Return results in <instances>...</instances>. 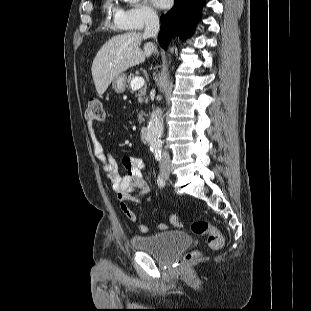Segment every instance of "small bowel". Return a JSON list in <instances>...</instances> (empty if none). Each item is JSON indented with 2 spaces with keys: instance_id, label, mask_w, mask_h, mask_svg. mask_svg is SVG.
Wrapping results in <instances>:
<instances>
[{
  "instance_id": "small-bowel-1",
  "label": "small bowel",
  "mask_w": 311,
  "mask_h": 311,
  "mask_svg": "<svg viewBox=\"0 0 311 311\" xmlns=\"http://www.w3.org/2000/svg\"><path fill=\"white\" fill-rule=\"evenodd\" d=\"M87 129L91 138L94 154L100 161L102 170L105 172L117 198L120 202V207L125 216L132 222L138 220L137 214L130 209L126 202L133 201L136 203L141 202V197L148 194L150 191L149 184L144 179L143 172L145 164L142 159L138 157L125 156L122 159V164L126 173L121 175L119 172V165L113 156H106L102 146L97 138V133L92 121L87 123ZM175 225L180 223L176 220L173 221ZM158 229L166 230L168 226L160 223L157 225ZM138 229L141 233H148L149 228L145 224H139Z\"/></svg>"
}]
</instances>
